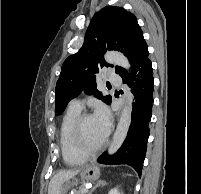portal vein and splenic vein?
I'll return each instance as SVG.
<instances>
[{"instance_id":"1","label":"portal vein and splenic vein","mask_w":201,"mask_h":194,"mask_svg":"<svg viewBox=\"0 0 201 194\" xmlns=\"http://www.w3.org/2000/svg\"><path fill=\"white\" fill-rule=\"evenodd\" d=\"M84 191H85V192H88V190H87V189H85Z\"/></svg>"}]
</instances>
